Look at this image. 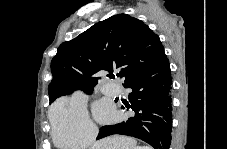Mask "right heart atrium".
Segmentation results:
<instances>
[{
    "label": "right heart atrium",
    "mask_w": 227,
    "mask_h": 149,
    "mask_svg": "<svg viewBox=\"0 0 227 149\" xmlns=\"http://www.w3.org/2000/svg\"><path fill=\"white\" fill-rule=\"evenodd\" d=\"M54 144L65 149L86 147L93 143L98 128L82 101L59 99L49 113Z\"/></svg>",
    "instance_id": "d8ad5b80"
}]
</instances>
